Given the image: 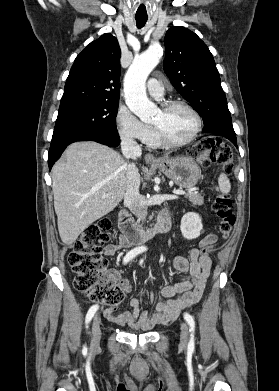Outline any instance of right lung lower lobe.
Masks as SVG:
<instances>
[{
  "instance_id": "right-lung-lower-lobe-1",
  "label": "right lung lower lobe",
  "mask_w": 279,
  "mask_h": 391,
  "mask_svg": "<svg viewBox=\"0 0 279 391\" xmlns=\"http://www.w3.org/2000/svg\"><path fill=\"white\" fill-rule=\"evenodd\" d=\"M92 140L111 147H116L120 143V138L116 127L90 128L68 136L52 139L48 154V165L51 170L53 164L65 148L72 142Z\"/></svg>"
}]
</instances>
